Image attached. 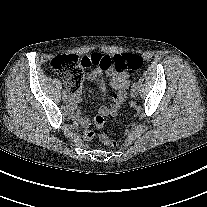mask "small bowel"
<instances>
[{"mask_svg": "<svg viewBox=\"0 0 207 207\" xmlns=\"http://www.w3.org/2000/svg\"><path fill=\"white\" fill-rule=\"evenodd\" d=\"M112 88L115 90V94L112 96L109 106H101L99 108V116H115L122 103L126 99L127 89L130 84L129 75L126 72H119L115 69H108L106 72ZM103 71L100 68H96L87 73V78L94 81L100 94L105 92V85L102 78ZM69 97L70 109L76 121H78L84 128H89L92 125V121L88 118H84L80 114V91H76L67 95Z\"/></svg>", "mask_w": 207, "mask_h": 207, "instance_id": "obj_1", "label": "small bowel"}]
</instances>
